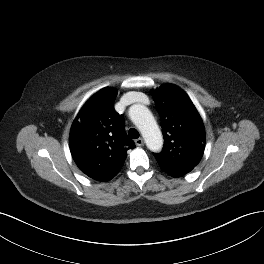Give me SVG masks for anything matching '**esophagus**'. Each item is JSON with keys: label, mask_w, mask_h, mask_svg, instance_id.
<instances>
[{"label": "esophagus", "mask_w": 264, "mask_h": 264, "mask_svg": "<svg viewBox=\"0 0 264 264\" xmlns=\"http://www.w3.org/2000/svg\"><path fill=\"white\" fill-rule=\"evenodd\" d=\"M135 144H136V146L140 147V146L144 145V141H143L142 138H138V139L135 140Z\"/></svg>", "instance_id": "34e87169"}]
</instances>
